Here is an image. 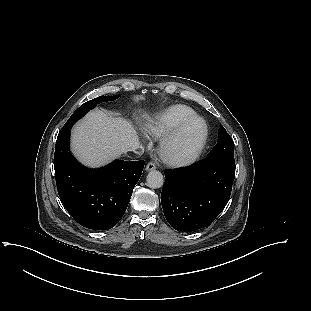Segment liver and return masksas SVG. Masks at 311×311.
Returning a JSON list of instances; mask_svg holds the SVG:
<instances>
[{"label": "liver", "instance_id": "liver-1", "mask_svg": "<svg viewBox=\"0 0 311 311\" xmlns=\"http://www.w3.org/2000/svg\"><path fill=\"white\" fill-rule=\"evenodd\" d=\"M136 145L139 136L129 121L100 110L89 112L71 133L72 152L80 162L93 168L111 162Z\"/></svg>", "mask_w": 311, "mask_h": 311}]
</instances>
